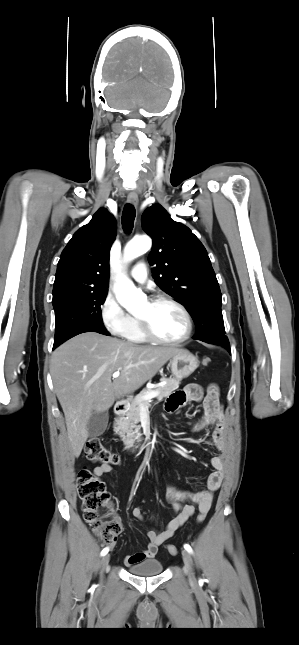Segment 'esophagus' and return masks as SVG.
<instances>
[{
	"instance_id": "34e87169",
	"label": "esophagus",
	"mask_w": 299,
	"mask_h": 645,
	"mask_svg": "<svg viewBox=\"0 0 299 645\" xmlns=\"http://www.w3.org/2000/svg\"><path fill=\"white\" fill-rule=\"evenodd\" d=\"M138 201H139V200H138V196H137V194H129V195L127 196V202H128V203H130V204H132V205H134V206H137V205H138Z\"/></svg>"
}]
</instances>
